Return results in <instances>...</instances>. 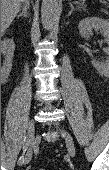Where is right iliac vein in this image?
<instances>
[{
    "mask_svg": "<svg viewBox=\"0 0 109 170\" xmlns=\"http://www.w3.org/2000/svg\"><path fill=\"white\" fill-rule=\"evenodd\" d=\"M25 139L28 143V148H27V152H26V155H25V158H24V164H27L31 160L32 145L35 141V122H34L33 119H31L29 124H28V129H27V134H26Z\"/></svg>",
    "mask_w": 109,
    "mask_h": 170,
    "instance_id": "1",
    "label": "right iliac vein"
}]
</instances>
